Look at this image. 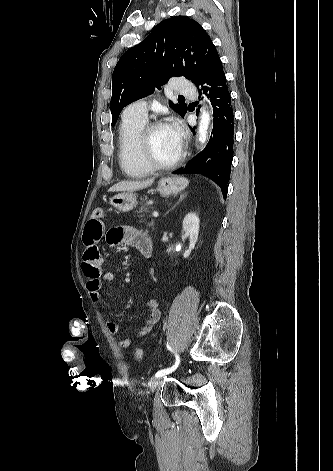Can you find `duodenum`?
Wrapping results in <instances>:
<instances>
[{
	"label": "duodenum",
	"instance_id": "1",
	"mask_svg": "<svg viewBox=\"0 0 333 471\" xmlns=\"http://www.w3.org/2000/svg\"><path fill=\"white\" fill-rule=\"evenodd\" d=\"M139 251L145 256L150 257L152 254V242L150 239H145L139 246Z\"/></svg>",
	"mask_w": 333,
	"mask_h": 471
}]
</instances>
